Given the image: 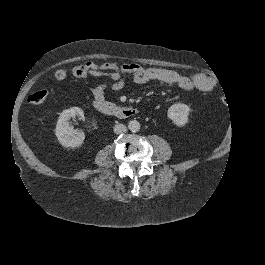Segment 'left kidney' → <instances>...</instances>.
<instances>
[{"label": "left kidney", "mask_w": 265, "mask_h": 265, "mask_svg": "<svg viewBox=\"0 0 265 265\" xmlns=\"http://www.w3.org/2000/svg\"><path fill=\"white\" fill-rule=\"evenodd\" d=\"M167 115L177 126H184L188 122L189 107L183 103L173 104Z\"/></svg>", "instance_id": "obj_1"}]
</instances>
